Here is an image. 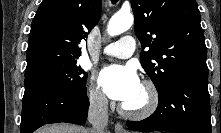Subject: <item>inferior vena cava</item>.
<instances>
[{
    "instance_id": "1",
    "label": "inferior vena cava",
    "mask_w": 221,
    "mask_h": 133,
    "mask_svg": "<svg viewBox=\"0 0 221 133\" xmlns=\"http://www.w3.org/2000/svg\"><path fill=\"white\" fill-rule=\"evenodd\" d=\"M88 121L92 128L90 133H107L108 100L103 94H97L90 100Z\"/></svg>"
}]
</instances>
